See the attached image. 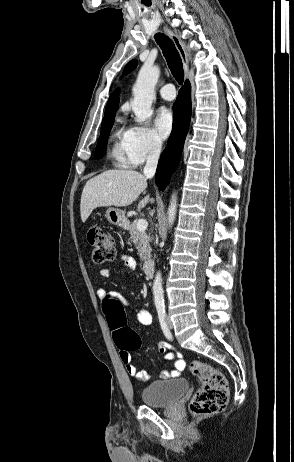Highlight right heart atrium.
Listing matches in <instances>:
<instances>
[{"label":"right heart atrium","instance_id":"d8ad5b80","mask_svg":"<svg viewBox=\"0 0 294 462\" xmlns=\"http://www.w3.org/2000/svg\"><path fill=\"white\" fill-rule=\"evenodd\" d=\"M162 149L157 133L147 126H131L127 131L126 151L132 166L156 157Z\"/></svg>","mask_w":294,"mask_h":462}]
</instances>
